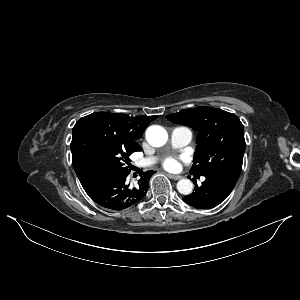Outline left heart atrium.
I'll use <instances>...</instances> for the list:
<instances>
[{
  "mask_svg": "<svg viewBox=\"0 0 300 300\" xmlns=\"http://www.w3.org/2000/svg\"><path fill=\"white\" fill-rule=\"evenodd\" d=\"M163 167L167 170H176L179 168V160L175 157H167L163 160Z\"/></svg>",
  "mask_w": 300,
  "mask_h": 300,
  "instance_id": "obj_1",
  "label": "left heart atrium"
}]
</instances>
